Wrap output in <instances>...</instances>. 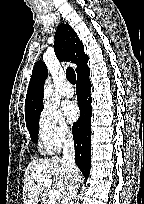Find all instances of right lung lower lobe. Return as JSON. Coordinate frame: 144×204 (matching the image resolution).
I'll return each mask as SVG.
<instances>
[{"label":"right lung lower lobe","instance_id":"98d812e1","mask_svg":"<svg viewBox=\"0 0 144 204\" xmlns=\"http://www.w3.org/2000/svg\"><path fill=\"white\" fill-rule=\"evenodd\" d=\"M89 68L77 74V98L80 109V118L73 124V139L75 143V162L85 179L88 178L91 162V83Z\"/></svg>","mask_w":144,"mask_h":204}]
</instances>
